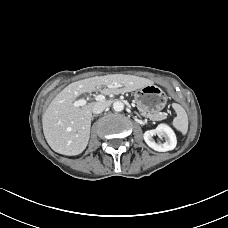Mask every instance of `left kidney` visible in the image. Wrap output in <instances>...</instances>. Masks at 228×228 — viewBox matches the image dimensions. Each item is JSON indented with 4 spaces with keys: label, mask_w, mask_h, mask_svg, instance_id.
<instances>
[{
    "label": "left kidney",
    "mask_w": 228,
    "mask_h": 228,
    "mask_svg": "<svg viewBox=\"0 0 228 228\" xmlns=\"http://www.w3.org/2000/svg\"><path fill=\"white\" fill-rule=\"evenodd\" d=\"M158 135L165 139V142H155L154 136ZM146 144L155 151L166 152L176 147L177 139L174 131L166 124H159L156 129L144 133Z\"/></svg>",
    "instance_id": "left-kidney-1"
}]
</instances>
